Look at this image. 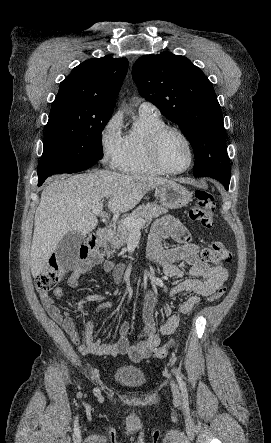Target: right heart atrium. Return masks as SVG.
<instances>
[{
	"label": "right heart atrium",
	"mask_w": 271,
	"mask_h": 443,
	"mask_svg": "<svg viewBox=\"0 0 271 443\" xmlns=\"http://www.w3.org/2000/svg\"><path fill=\"white\" fill-rule=\"evenodd\" d=\"M122 124V113L116 111L104 122L99 133L102 155L113 166L118 165L123 153Z\"/></svg>",
	"instance_id": "1"
}]
</instances>
